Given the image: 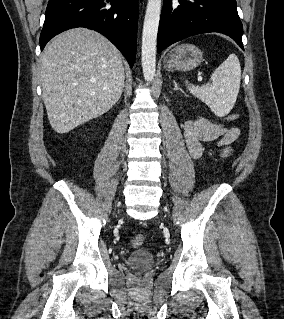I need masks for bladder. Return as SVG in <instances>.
<instances>
[{"instance_id": "obj_1", "label": "bladder", "mask_w": 284, "mask_h": 319, "mask_svg": "<svg viewBox=\"0 0 284 319\" xmlns=\"http://www.w3.org/2000/svg\"><path fill=\"white\" fill-rule=\"evenodd\" d=\"M126 263L132 269L143 271L151 268L154 265L155 256L149 250L139 249L133 251L126 258Z\"/></svg>"}]
</instances>
